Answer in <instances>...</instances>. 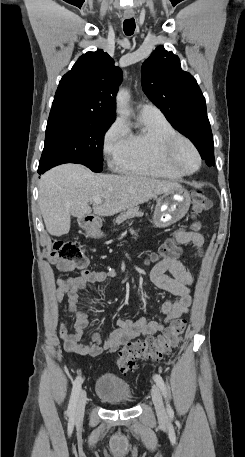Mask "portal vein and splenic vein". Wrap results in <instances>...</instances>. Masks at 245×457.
Returning a JSON list of instances; mask_svg holds the SVG:
<instances>
[{"mask_svg": "<svg viewBox=\"0 0 245 457\" xmlns=\"http://www.w3.org/2000/svg\"><path fill=\"white\" fill-rule=\"evenodd\" d=\"M92 200H94V202H102L101 196H94V198H92Z\"/></svg>", "mask_w": 245, "mask_h": 457, "instance_id": "obj_1", "label": "portal vein and splenic vein"}]
</instances>
